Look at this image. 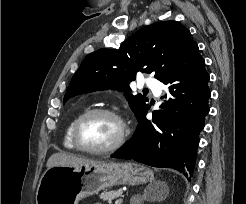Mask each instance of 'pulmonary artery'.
Returning <instances> with one entry per match:
<instances>
[{
	"label": "pulmonary artery",
	"instance_id": "obj_1",
	"mask_svg": "<svg viewBox=\"0 0 246 204\" xmlns=\"http://www.w3.org/2000/svg\"><path fill=\"white\" fill-rule=\"evenodd\" d=\"M145 85L147 88L152 90V92L156 95L159 96L162 90V85L159 81L153 79V78H148L145 81Z\"/></svg>",
	"mask_w": 246,
	"mask_h": 204
}]
</instances>
